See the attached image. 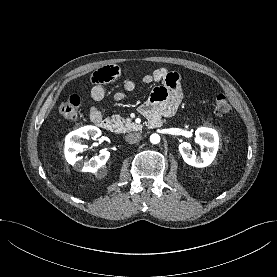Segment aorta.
Returning <instances> with one entry per match:
<instances>
[{"instance_id": "762f6f07", "label": "aorta", "mask_w": 277, "mask_h": 277, "mask_svg": "<svg viewBox=\"0 0 277 277\" xmlns=\"http://www.w3.org/2000/svg\"><path fill=\"white\" fill-rule=\"evenodd\" d=\"M150 141L152 144H158L160 142V136L158 134H152L150 136Z\"/></svg>"}]
</instances>
